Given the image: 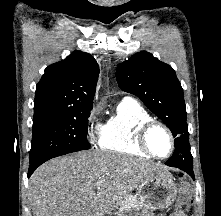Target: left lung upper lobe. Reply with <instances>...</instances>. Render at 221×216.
Returning a JSON list of instances; mask_svg holds the SVG:
<instances>
[{"mask_svg":"<svg viewBox=\"0 0 221 216\" xmlns=\"http://www.w3.org/2000/svg\"><path fill=\"white\" fill-rule=\"evenodd\" d=\"M120 88L138 96L172 131L175 148L189 149L183 89L171 66L140 52L116 69Z\"/></svg>","mask_w":221,"mask_h":216,"instance_id":"5c2ea615","label":"left lung upper lobe"}]
</instances>
